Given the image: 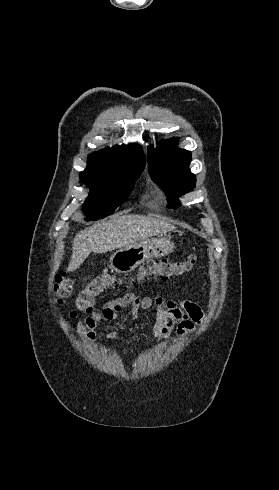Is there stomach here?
Segmentation results:
<instances>
[{
  "mask_svg": "<svg viewBox=\"0 0 279 490\" xmlns=\"http://www.w3.org/2000/svg\"><path fill=\"white\" fill-rule=\"evenodd\" d=\"M174 248V244L167 238H163V236L152 238V240H143V242L134 244L130 248H122V250L115 252L109 260L110 268L118 272V274H129L137 266L144 264L146 260L168 256V254L174 252Z\"/></svg>",
  "mask_w": 279,
  "mask_h": 490,
  "instance_id": "stomach-1",
  "label": "stomach"
}]
</instances>
